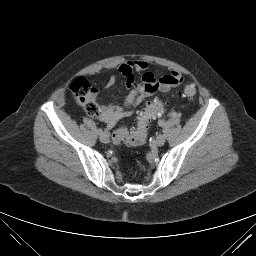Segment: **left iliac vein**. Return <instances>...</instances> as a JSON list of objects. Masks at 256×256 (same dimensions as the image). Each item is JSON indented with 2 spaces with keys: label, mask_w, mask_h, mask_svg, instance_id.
Returning <instances> with one entry per match:
<instances>
[{
  "label": "left iliac vein",
  "mask_w": 256,
  "mask_h": 256,
  "mask_svg": "<svg viewBox=\"0 0 256 256\" xmlns=\"http://www.w3.org/2000/svg\"><path fill=\"white\" fill-rule=\"evenodd\" d=\"M155 143L157 146H162L165 143V137L163 135H158L155 139Z\"/></svg>",
  "instance_id": "1"
}]
</instances>
